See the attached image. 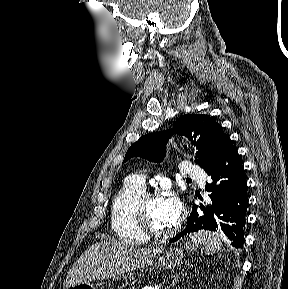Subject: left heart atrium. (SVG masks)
<instances>
[{
  "instance_id": "39dd6f15",
  "label": "left heart atrium",
  "mask_w": 288,
  "mask_h": 289,
  "mask_svg": "<svg viewBox=\"0 0 288 289\" xmlns=\"http://www.w3.org/2000/svg\"><path fill=\"white\" fill-rule=\"evenodd\" d=\"M182 206L180 201L174 196L161 198V212L163 221L168 225H174L180 218Z\"/></svg>"
}]
</instances>
